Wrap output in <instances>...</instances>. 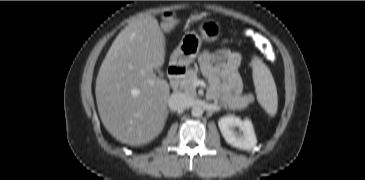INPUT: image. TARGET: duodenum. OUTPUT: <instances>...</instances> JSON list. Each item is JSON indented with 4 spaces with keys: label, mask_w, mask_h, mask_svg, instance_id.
Listing matches in <instances>:
<instances>
[{
    "label": "duodenum",
    "mask_w": 365,
    "mask_h": 180,
    "mask_svg": "<svg viewBox=\"0 0 365 180\" xmlns=\"http://www.w3.org/2000/svg\"><path fill=\"white\" fill-rule=\"evenodd\" d=\"M186 72L183 66H171L168 69L169 85L172 89L177 88L180 78Z\"/></svg>",
    "instance_id": "duodenum-1"
}]
</instances>
